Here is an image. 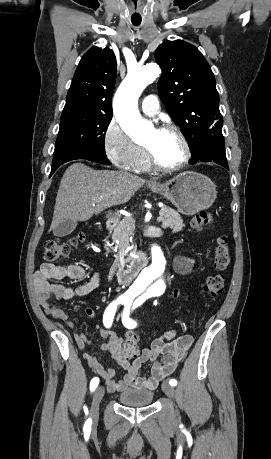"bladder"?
<instances>
[{"instance_id":"31cf9c89","label":"bladder","mask_w":271,"mask_h":459,"mask_svg":"<svg viewBox=\"0 0 271 459\" xmlns=\"http://www.w3.org/2000/svg\"><path fill=\"white\" fill-rule=\"evenodd\" d=\"M153 396L154 393L152 391L135 388L129 392L121 393L119 399L120 404L140 406L150 404Z\"/></svg>"}]
</instances>
